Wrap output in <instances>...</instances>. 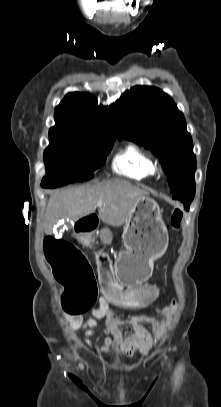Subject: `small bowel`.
I'll use <instances>...</instances> for the list:
<instances>
[{
  "mask_svg": "<svg viewBox=\"0 0 221 407\" xmlns=\"http://www.w3.org/2000/svg\"><path fill=\"white\" fill-rule=\"evenodd\" d=\"M175 310L176 303L173 301L169 307L157 311L158 317L147 318L134 315L129 319H123L113 311L105 297H100L98 306L92 310L91 318L85 320L81 316H71L69 323L74 329L84 328L86 335L91 336L97 320L105 318L107 328L104 345L101 347L102 352H117L120 355L132 357L136 353L147 354L154 343L162 339ZM143 322L150 324L152 333L143 326ZM122 327L130 328L133 333L123 337Z\"/></svg>",
  "mask_w": 221,
  "mask_h": 407,
  "instance_id": "1",
  "label": "small bowel"
}]
</instances>
